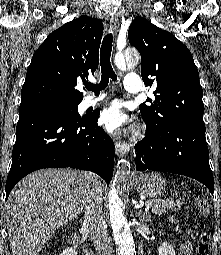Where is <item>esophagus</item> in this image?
Instances as JSON below:
<instances>
[{
  "label": "esophagus",
  "instance_id": "obj_1",
  "mask_svg": "<svg viewBox=\"0 0 221 255\" xmlns=\"http://www.w3.org/2000/svg\"><path fill=\"white\" fill-rule=\"evenodd\" d=\"M119 20L116 16L111 17L110 19V29L115 36L118 32ZM128 151L127 144L119 139H115V152L118 157H124Z\"/></svg>",
  "mask_w": 221,
  "mask_h": 255
}]
</instances>
